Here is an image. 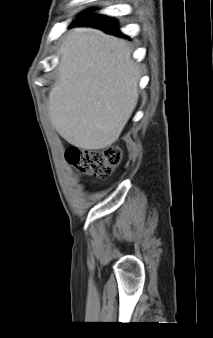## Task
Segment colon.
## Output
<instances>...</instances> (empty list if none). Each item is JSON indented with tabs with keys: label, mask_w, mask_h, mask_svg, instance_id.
I'll return each instance as SVG.
<instances>
[{
	"label": "colon",
	"mask_w": 213,
	"mask_h": 338,
	"mask_svg": "<svg viewBox=\"0 0 213 338\" xmlns=\"http://www.w3.org/2000/svg\"><path fill=\"white\" fill-rule=\"evenodd\" d=\"M67 162L82 173L105 179L109 177L121 159L118 146H108L100 150L69 147L64 153Z\"/></svg>",
	"instance_id": "1"
}]
</instances>
